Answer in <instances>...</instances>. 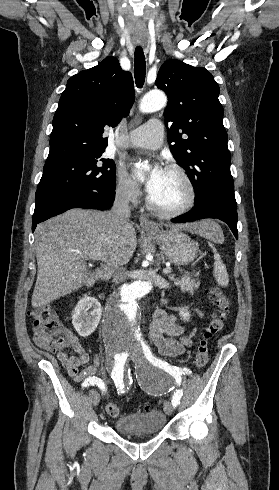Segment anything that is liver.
Segmentation results:
<instances>
[{
  "mask_svg": "<svg viewBox=\"0 0 279 490\" xmlns=\"http://www.w3.org/2000/svg\"><path fill=\"white\" fill-rule=\"evenodd\" d=\"M170 228L192 234H201L203 230L202 222ZM35 238L38 270L31 300L33 308L46 306L81 288L87 278L86 260L102 256L105 264L96 276L107 278L116 264L131 260L137 246L132 224L124 228L112 226L108 212L81 208L38 224Z\"/></svg>",
  "mask_w": 279,
  "mask_h": 490,
  "instance_id": "liver-1",
  "label": "liver"
}]
</instances>
